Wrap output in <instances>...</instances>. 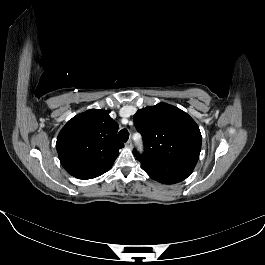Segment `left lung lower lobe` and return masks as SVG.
Here are the masks:
<instances>
[{
	"mask_svg": "<svg viewBox=\"0 0 265 265\" xmlns=\"http://www.w3.org/2000/svg\"><path fill=\"white\" fill-rule=\"evenodd\" d=\"M197 161V158H189L166 164L142 165V167L152 179L163 184H175L192 173Z\"/></svg>",
	"mask_w": 265,
	"mask_h": 265,
	"instance_id": "obj_1",
	"label": "left lung lower lobe"
}]
</instances>
